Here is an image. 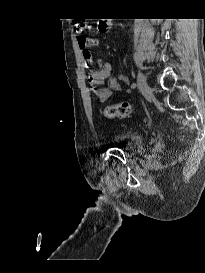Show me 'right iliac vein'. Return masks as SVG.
Listing matches in <instances>:
<instances>
[{"label":"right iliac vein","mask_w":205,"mask_h":273,"mask_svg":"<svg viewBox=\"0 0 205 273\" xmlns=\"http://www.w3.org/2000/svg\"><path fill=\"white\" fill-rule=\"evenodd\" d=\"M147 82H146V79L144 77V75L139 72L138 73V76H137V88L140 92H143L147 89Z\"/></svg>","instance_id":"right-iliac-vein-1"}]
</instances>
